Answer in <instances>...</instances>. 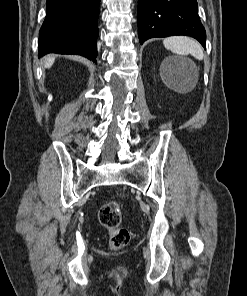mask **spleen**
Listing matches in <instances>:
<instances>
[{
	"mask_svg": "<svg viewBox=\"0 0 247 296\" xmlns=\"http://www.w3.org/2000/svg\"><path fill=\"white\" fill-rule=\"evenodd\" d=\"M163 44L166 49L172 51L177 55L191 54L198 60H202L204 57L203 49L201 45L192 38L185 36H173L163 40Z\"/></svg>",
	"mask_w": 247,
	"mask_h": 296,
	"instance_id": "1",
	"label": "spleen"
}]
</instances>
